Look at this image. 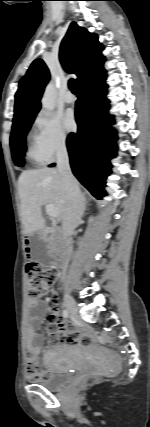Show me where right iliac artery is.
<instances>
[{
	"instance_id": "82829eb1",
	"label": "right iliac artery",
	"mask_w": 150,
	"mask_h": 427,
	"mask_svg": "<svg viewBox=\"0 0 150 427\" xmlns=\"http://www.w3.org/2000/svg\"><path fill=\"white\" fill-rule=\"evenodd\" d=\"M68 315H69L68 311H67V310H63V316H64L65 318H67V317H68Z\"/></svg>"
}]
</instances>
